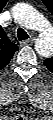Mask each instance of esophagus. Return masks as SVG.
Returning a JSON list of instances; mask_svg holds the SVG:
<instances>
[{
	"label": "esophagus",
	"mask_w": 53,
	"mask_h": 120,
	"mask_svg": "<svg viewBox=\"0 0 53 120\" xmlns=\"http://www.w3.org/2000/svg\"><path fill=\"white\" fill-rule=\"evenodd\" d=\"M34 40H35V38L32 37V38H30L28 40L23 41L22 45H29V44L33 43Z\"/></svg>",
	"instance_id": "34e87169"
}]
</instances>
